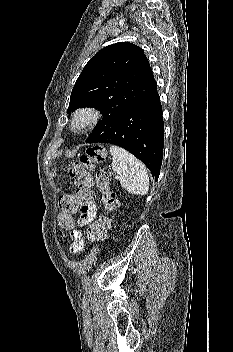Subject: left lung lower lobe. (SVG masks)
I'll return each mask as SVG.
<instances>
[{"instance_id":"1","label":"left lung lower lobe","mask_w":233,"mask_h":352,"mask_svg":"<svg viewBox=\"0 0 233 352\" xmlns=\"http://www.w3.org/2000/svg\"><path fill=\"white\" fill-rule=\"evenodd\" d=\"M90 143H110L128 150L150 169L157 181L164 145V123L157 87L123 112L107 131Z\"/></svg>"}]
</instances>
